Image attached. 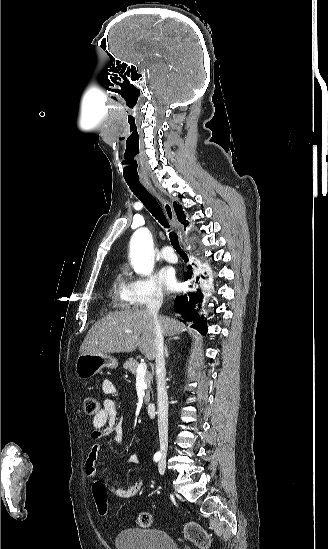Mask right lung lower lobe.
<instances>
[{
	"instance_id": "98d812e1",
	"label": "right lung lower lobe",
	"mask_w": 328,
	"mask_h": 549,
	"mask_svg": "<svg viewBox=\"0 0 328 549\" xmlns=\"http://www.w3.org/2000/svg\"><path fill=\"white\" fill-rule=\"evenodd\" d=\"M186 281L192 279V272L189 271L185 274ZM199 278H197L198 281ZM203 300V294L200 289L194 292H188L184 295H181L175 299V310L180 312L185 318V321L194 322L192 327L205 334L207 331V326L205 325L203 316H200L197 311H194L193 308L200 307Z\"/></svg>"
}]
</instances>
